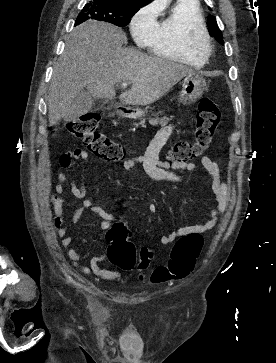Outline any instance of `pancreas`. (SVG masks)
<instances>
[{
	"instance_id": "pancreas-1",
	"label": "pancreas",
	"mask_w": 276,
	"mask_h": 363,
	"mask_svg": "<svg viewBox=\"0 0 276 363\" xmlns=\"http://www.w3.org/2000/svg\"><path fill=\"white\" fill-rule=\"evenodd\" d=\"M168 118L167 117H162V118H152V119H149V123L153 126H156V125H166L168 123ZM143 122H141L140 124H142ZM135 125H138V124H135Z\"/></svg>"
}]
</instances>
